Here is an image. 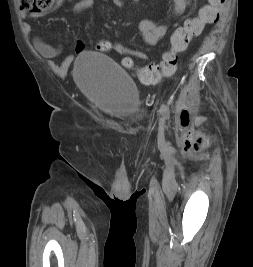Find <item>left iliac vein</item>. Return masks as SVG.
Segmentation results:
<instances>
[{
	"label": "left iliac vein",
	"mask_w": 253,
	"mask_h": 267,
	"mask_svg": "<svg viewBox=\"0 0 253 267\" xmlns=\"http://www.w3.org/2000/svg\"><path fill=\"white\" fill-rule=\"evenodd\" d=\"M165 122L164 119H161L159 122V127H158V142L159 144H164L165 142Z\"/></svg>",
	"instance_id": "4c4485c4"
}]
</instances>
